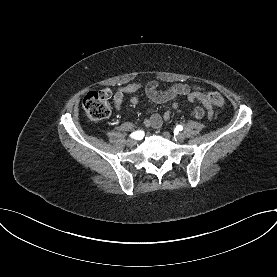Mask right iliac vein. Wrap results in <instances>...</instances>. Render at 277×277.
Listing matches in <instances>:
<instances>
[{
  "label": "right iliac vein",
  "instance_id": "obj_1",
  "mask_svg": "<svg viewBox=\"0 0 277 277\" xmlns=\"http://www.w3.org/2000/svg\"><path fill=\"white\" fill-rule=\"evenodd\" d=\"M136 143H137V140L133 139V138L132 139H128L127 142H126L128 147H134L136 145Z\"/></svg>",
  "mask_w": 277,
  "mask_h": 277
}]
</instances>
